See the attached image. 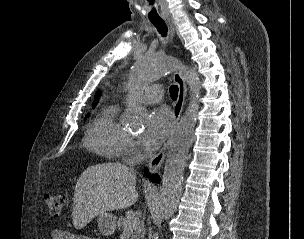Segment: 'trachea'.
I'll use <instances>...</instances> for the list:
<instances>
[{
    "label": "trachea",
    "mask_w": 304,
    "mask_h": 239,
    "mask_svg": "<svg viewBox=\"0 0 304 239\" xmlns=\"http://www.w3.org/2000/svg\"><path fill=\"white\" fill-rule=\"evenodd\" d=\"M145 3L148 7V10L150 11L147 14L148 19H150V22L157 28L158 32L165 37L168 29L165 22L162 20V17L157 12L158 3L156 0H145ZM169 92L171 98L173 100H176L178 96V86H170Z\"/></svg>",
    "instance_id": "trachea-1"
}]
</instances>
